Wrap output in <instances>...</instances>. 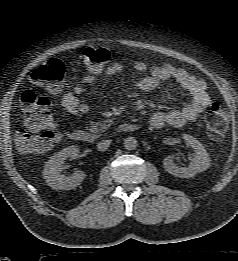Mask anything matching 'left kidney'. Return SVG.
Masks as SVG:
<instances>
[{"mask_svg":"<svg viewBox=\"0 0 238 261\" xmlns=\"http://www.w3.org/2000/svg\"><path fill=\"white\" fill-rule=\"evenodd\" d=\"M183 139L188 147L194 149V158L188 167L177 166L171 156H167L163 160L164 169L179 178L193 177L199 172L207 170L210 166V157L204 146L194 137L185 134Z\"/></svg>","mask_w":238,"mask_h":261,"instance_id":"1","label":"left kidney"}]
</instances>
